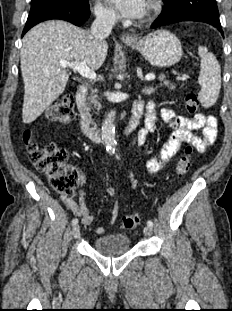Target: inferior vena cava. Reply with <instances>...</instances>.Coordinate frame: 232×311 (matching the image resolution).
Instances as JSON below:
<instances>
[{"label":"inferior vena cava","mask_w":232,"mask_h":311,"mask_svg":"<svg viewBox=\"0 0 232 311\" xmlns=\"http://www.w3.org/2000/svg\"><path fill=\"white\" fill-rule=\"evenodd\" d=\"M116 19V15L112 13H97L96 19L91 26L92 36L96 39L104 40L110 35Z\"/></svg>","instance_id":"602c4592"}]
</instances>
